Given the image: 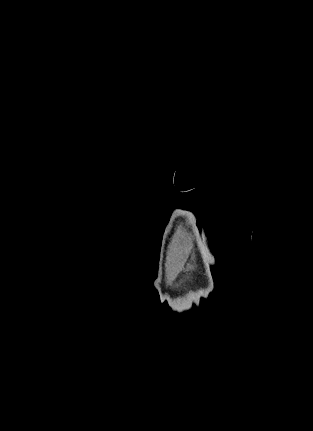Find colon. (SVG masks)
I'll list each match as a JSON object with an SVG mask.
<instances>
[{"label":"colon","mask_w":313,"mask_h":431,"mask_svg":"<svg viewBox=\"0 0 313 431\" xmlns=\"http://www.w3.org/2000/svg\"><path fill=\"white\" fill-rule=\"evenodd\" d=\"M230 116H236L235 114H230ZM231 120V119H230Z\"/></svg>","instance_id":"colon-1"}]
</instances>
